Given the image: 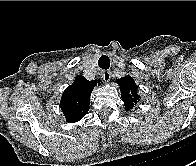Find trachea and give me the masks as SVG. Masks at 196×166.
<instances>
[{"label":"trachea","instance_id":"trachea-1","mask_svg":"<svg viewBox=\"0 0 196 166\" xmlns=\"http://www.w3.org/2000/svg\"><path fill=\"white\" fill-rule=\"evenodd\" d=\"M98 65L101 69H108L110 66V60L106 55H103L98 60Z\"/></svg>","mask_w":196,"mask_h":166}]
</instances>
